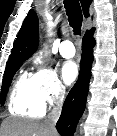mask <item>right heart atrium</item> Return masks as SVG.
<instances>
[{
	"label": "right heart atrium",
	"mask_w": 117,
	"mask_h": 136,
	"mask_svg": "<svg viewBox=\"0 0 117 136\" xmlns=\"http://www.w3.org/2000/svg\"><path fill=\"white\" fill-rule=\"evenodd\" d=\"M36 65L33 74L35 93L44 106L54 105L64 96V85L52 69L41 64L39 60H36Z\"/></svg>",
	"instance_id": "d8ad5b80"
}]
</instances>
